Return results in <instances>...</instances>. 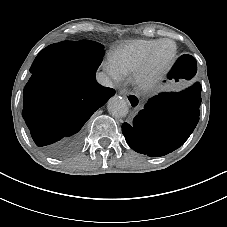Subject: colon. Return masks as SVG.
Segmentation results:
<instances>
[{"label": "colon", "mask_w": 227, "mask_h": 227, "mask_svg": "<svg viewBox=\"0 0 227 227\" xmlns=\"http://www.w3.org/2000/svg\"><path fill=\"white\" fill-rule=\"evenodd\" d=\"M195 70V61L189 55H181L174 64L171 76L172 79H189Z\"/></svg>", "instance_id": "1"}]
</instances>
